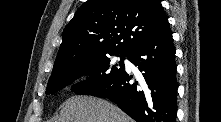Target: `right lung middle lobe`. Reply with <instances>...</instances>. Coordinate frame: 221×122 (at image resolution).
<instances>
[{"label":"right lung middle lobe","mask_w":221,"mask_h":122,"mask_svg":"<svg viewBox=\"0 0 221 122\" xmlns=\"http://www.w3.org/2000/svg\"><path fill=\"white\" fill-rule=\"evenodd\" d=\"M125 57L127 55L120 56L121 61L119 64H113L108 56H102L70 66L50 77L46 94L57 92L82 75H89L87 81H82L74 85L72 91L78 95H91L107 87L124 72L123 59Z\"/></svg>","instance_id":"right-lung-middle-lobe-1"}]
</instances>
